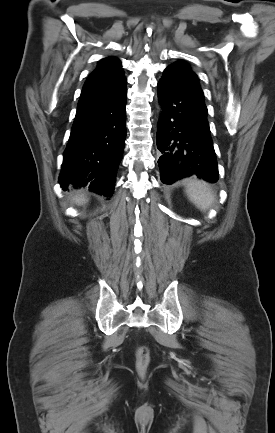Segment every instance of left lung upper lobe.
I'll use <instances>...</instances> for the list:
<instances>
[{
  "instance_id": "1",
  "label": "left lung upper lobe",
  "mask_w": 275,
  "mask_h": 433,
  "mask_svg": "<svg viewBox=\"0 0 275 433\" xmlns=\"http://www.w3.org/2000/svg\"><path fill=\"white\" fill-rule=\"evenodd\" d=\"M163 78L196 93L204 100V94L200 88L197 75L182 61L168 66L164 71Z\"/></svg>"
}]
</instances>
